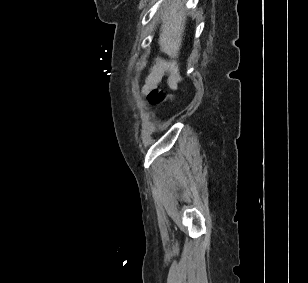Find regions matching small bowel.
Wrapping results in <instances>:
<instances>
[{"instance_id": "small-bowel-1", "label": "small bowel", "mask_w": 308, "mask_h": 283, "mask_svg": "<svg viewBox=\"0 0 308 283\" xmlns=\"http://www.w3.org/2000/svg\"><path fill=\"white\" fill-rule=\"evenodd\" d=\"M169 69V66L162 62V61H157L151 68L149 74L147 75L145 79V83L142 87V92L143 93H148L153 89H156L164 76V73Z\"/></svg>"}]
</instances>
